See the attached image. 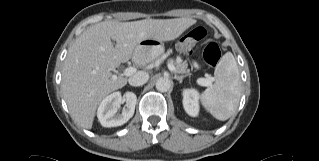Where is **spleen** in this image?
<instances>
[{"label": "spleen", "instance_id": "1", "mask_svg": "<svg viewBox=\"0 0 319 161\" xmlns=\"http://www.w3.org/2000/svg\"><path fill=\"white\" fill-rule=\"evenodd\" d=\"M214 77L215 83L201 94V101L213 117L225 121L234 114L241 97L240 73L231 52L220 59Z\"/></svg>", "mask_w": 319, "mask_h": 161}]
</instances>
